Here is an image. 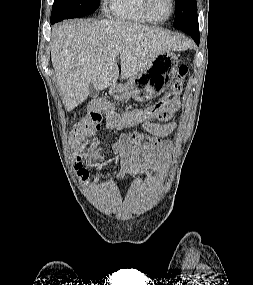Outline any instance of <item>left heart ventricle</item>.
I'll list each match as a JSON object with an SVG mask.
<instances>
[{
  "instance_id": "obj_1",
  "label": "left heart ventricle",
  "mask_w": 253,
  "mask_h": 285,
  "mask_svg": "<svg viewBox=\"0 0 253 285\" xmlns=\"http://www.w3.org/2000/svg\"><path fill=\"white\" fill-rule=\"evenodd\" d=\"M152 14L157 18H166L171 10L170 0H149Z\"/></svg>"
}]
</instances>
